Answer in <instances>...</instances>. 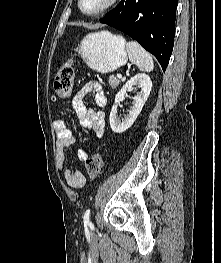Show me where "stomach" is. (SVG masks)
<instances>
[{
  "instance_id": "0dacf381",
  "label": "stomach",
  "mask_w": 221,
  "mask_h": 263,
  "mask_svg": "<svg viewBox=\"0 0 221 263\" xmlns=\"http://www.w3.org/2000/svg\"><path fill=\"white\" fill-rule=\"evenodd\" d=\"M125 39L109 31L87 35L77 48L87 66L99 73H110L126 64Z\"/></svg>"
}]
</instances>
